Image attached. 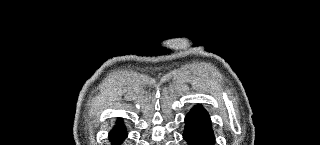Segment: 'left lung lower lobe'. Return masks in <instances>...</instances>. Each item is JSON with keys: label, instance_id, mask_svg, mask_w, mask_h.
<instances>
[{"label": "left lung lower lobe", "instance_id": "0a47b994", "mask_svg": "<svg viewBox=\"0 0 320 145\" xmlns=\"http://www.w3.org/2000/svg\"><path fill=\"white\" fill-rule=\"evenodd\" d=\"M183 137L188 145H214L215 137L208 113L198 105L185 117Z\"/></svg>", "mask_w": 320, "mask_h": 145}]
</instances>
